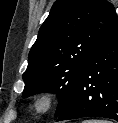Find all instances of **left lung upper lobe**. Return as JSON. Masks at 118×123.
Returning a JSON list of instances; mask_svg holds the SVG:
<instances>
[{"label":"left lung upper lobe","mask_w":118,"mask_h":123,"mask_svg":"<svg viewBox=\"0 0 118 123\" xmlns=\"http://www.w3.org/2000/svg\"><path fill=\"white\" fill-rule=\"evenodd\" d=\"M117 20L106 0H57L29 52L22 96L56 93L59 116L94 48Z\"/></svg>","instance_id":"obj_1"}]
</instances>
